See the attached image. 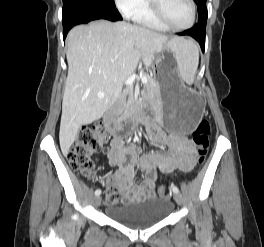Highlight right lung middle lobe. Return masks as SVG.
Returning <instances> with one entry per match:
<instances>
[{
    "instance_id": "1",
    "label": "right lung middle lobe",
    "mask_w": 264,
    "mask_h": 247,
    "mask_svg": "<svg viewBox=\"0 0 264 247\" xmlns=\"http://www.w3.org/2000/svg\"><path fill=\"white\" fill-rule=\"evenodd\" d=\"M70 0H63V2H67ZM77 1H83V2H88L92 4H98L101 6H108V7H113L115 6L114 0H77Z\"/></svg>"
}]
</instances>
